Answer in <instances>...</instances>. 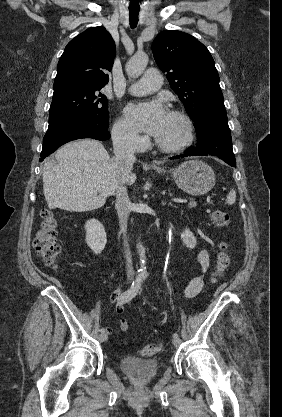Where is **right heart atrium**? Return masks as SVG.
<instances>
[{
    "instance_id": "right-heart-atrium-1",
    "label": "right heart atrium",
    "mask_w": 282,
    "mask_h": 417,
    "mask_svg": "<svg viewBox=\"0 0 282 417\" xmlns=\"http://www.w3.org/2000/svg\"><path fill=\"white\" fill-rule=\"evenodd\" d=\"M112 137L115 147L119 150L134 153L143 147L144 138L138 136L122 119L115 123Z\"/></svg>"
}]
</instances>
